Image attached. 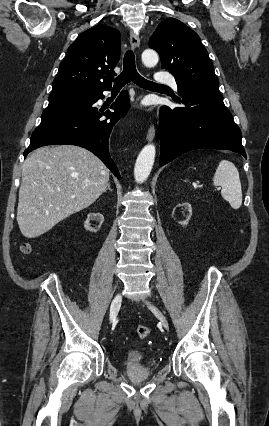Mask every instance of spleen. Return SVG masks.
I'll list each match as a JSON object with an SVG mask.
<instances>
[{
    "label": "spleen",
    "mask_w": 269,
    "mask_h": 426,
    "mask_svg": "<svg viewBox=\"0 0 269 426\" xmlns=\"http://www.w3.org/2000/svg\"><path fill=\"white\" fill-rule=\"evenodd\" d=\"M213 183L215 186L222 187L221 195L233 209L240 208L242 204L241 182L238 169L232 162L222 160L219 163Z\"/></svg>",
    "instance_id": "spleen-1"
}]
</instances>
